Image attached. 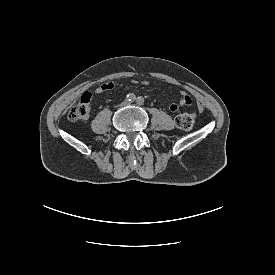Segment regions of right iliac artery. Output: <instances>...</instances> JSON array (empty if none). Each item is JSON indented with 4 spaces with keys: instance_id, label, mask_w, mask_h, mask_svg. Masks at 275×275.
<instances>
[{
    "instance_id": "obj_1",
    "label": "right iliac artery",
    "mask_w": 275,
    "mask_h": 275,
    "mask_svg": "<svg viewBox=\"0 0 275 275\" xmlns=\"http://www.w3.org/2000/svg\"><path fill=\"white\" fill-rule=\"evenodd\" d=\"M127 99H128V101H133L135 99V95L130 93L127 95Z\"/></svg>"
}]
</instances>
